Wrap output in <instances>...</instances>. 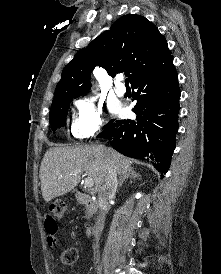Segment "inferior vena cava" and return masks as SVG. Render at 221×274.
Here are the masks:
<instances>
[{
  "label": "inferior vena cava",
  "instance_id": "obj_1",
  "mask_svg": "<svg viewBox=\"0 0 221 274\" xmlns=\"http://www.w3.org/2000/svg\"><path fill=\"white\" fill-rule=\"evenodd\" d=\"M118 181H117V168L112 160H108L107 164V175L105 177V182L99 190V213L97 221L94 227V233L97 239L103 230L105 222L106 209L109 205V200L114 197L117 191Z\"/></svg>",
  "mask_w": 221,
  "mask_h": 274
}]
</instances>
